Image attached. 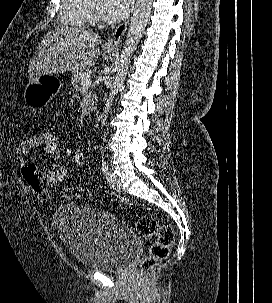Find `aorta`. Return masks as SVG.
Listing matches in <instances>:
<instances>
[{
  "label": "aorta",
  "instance_id": "1",
  "mask_svg": "<svg viewBox=\"0 0 272 303\" xmlns=\"http://www.w3.org/2000/svg\"><path fill=\"white\" fill-rule=\"evenodd\" d=\"M152 2L153 0H136L133 17L131 19V23L127 32L125 44L123 46L118 71L114 78L112 89L106 101L104 111L100 116L101 129L106 124L108 111L112 106L115 96L122 89L124 79L129 67L130 57L140 42L147 26V22L151 13Z\"/></svg>",
  "mask_w": 272,
  "mask_h": 303
}]
</instances>
